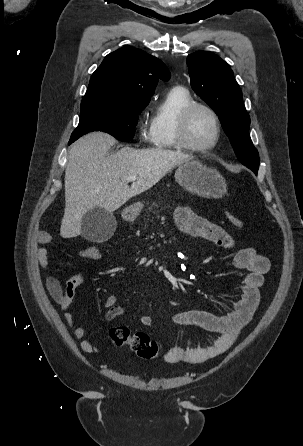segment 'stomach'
<instances>
[{
  "label": "stomach",
  "mask_w": 303,
  "mask_h": 446,
  "mask_svg": "<svg viewBox=\"0 0 303 446\" xmlns=\"http://www.w3.org/2000/svg\"><path fill=\"white\" fill-rule=\"evenodd\" d=\"M175 180L188 192L204 198L218 199L226 193L227 184L222 175L193 159L177 166ZM142 208V202L134 203L123 211L122 216L127 221H133Z\"/></svg>",
  "instance_id": "1"
}]
</instances>
